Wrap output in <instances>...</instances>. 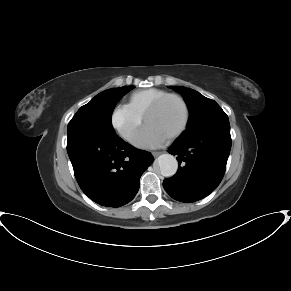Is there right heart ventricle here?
I'll return each instance as SVG.
<instances>
[{
    "instance_id": "obj_1",
    "label": "right heart ventricle",
    "mask_w": 291,
    "mask_h": 291,
    "mask_svg": "<svg viewBox=\"0 0 291 291\" xmlns=\"http://www.w3.org/2000/svg\"><path fill=\"white\" fill-rule=\"evenodd\" d=\"M166 94L169 93L157 88L137 90L130 94L128 104L135 112L143 117L148 107L155 100Z\"/></svg>"
}]
</instances>
